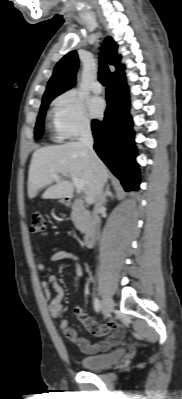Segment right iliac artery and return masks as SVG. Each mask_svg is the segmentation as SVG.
I'll list each match as a JSON object with an SVG mask.
<instances>
[{"mask_svg": "<svg viewBox=\"0 0 182 399\" xmlns=\"http://www.w3.org/2000/svg\"><path fill=\"white\" fill-rule=\"evenodd\" d=\"M93 304H94L95 311L99 312L101 310V303H100L99 299L94 298Z\"/></svg>", "mask_w": 182, "mask_h": 399, "instance_id": "obj_1", "label": "right iliac artery"}]
</instances>
